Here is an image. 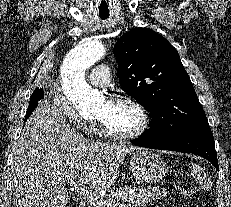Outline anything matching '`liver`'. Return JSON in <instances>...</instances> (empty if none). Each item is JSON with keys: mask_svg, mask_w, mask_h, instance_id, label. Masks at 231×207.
<instances>
[{"mask_svg": "<svg viewBox=\"0 0 231 207\" xmlns=\"http://www.w3.org/2000/svg\"><path fill=\"white\" fill-rule=\"evenodd\" d=\"M142 148L95 142L77 133L57 107L40 102L17 141L11 166L14 207H66V182L92 190L115 184L128 153ZM75 188V187H74Z\"/></svg>", "mask_w": 231, "mask_h": 207, "instance_id": "1", "label": "liver"}]
</instances>
